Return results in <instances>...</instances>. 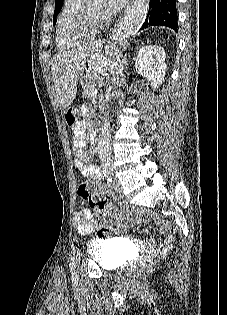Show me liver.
Returning <instances> with one entry per match:
<instances>
[{"label": "liver", "mask_w": 227, "mask_h": 315, "mask_svg": "<svg viewBox=\"0 0 227 315\" xmlns=\"http://www.w3.org/2000/svg\"><path fill=\"white\" fill-rule=\"evenodd\" d=\"M120 54L116 45L107 44L103 47L101 41H94L56 55L52 59L51 67L60 106L65 109L73 103L79 77L87 64L92 67L93 72L104 73L115 69Z\"/></svg>", "instance_id": "1"}]
</instances>
